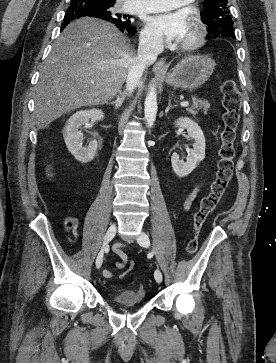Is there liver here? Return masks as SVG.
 <instances>
[{
  "instance_id": "6515ba94",
  "label": "liver",
  "mask_w": 276,
  "mask_h": 363,
  "mask_svg": "<svg viewBox=\"0 0 276 363\" xmlns=\"http://www.w3.org/2000/svg\"><path fill=\"white\" fill-rule=\"evenodd\" d=\"M134 54L113 24L90 17L71 22L40 70L35 94L37 127L44 129L75 109L113 99L127 79Z\"/></svg>"
}]
</instances>
